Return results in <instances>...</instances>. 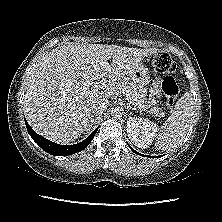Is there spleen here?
Returning <instances> with one entry per match:
<instances>
[{"label":"spleen","instance_id":"spleen-1","mask_svg":"<svg viewBox=\"0 0 222 222\" xmlns=\"http://www.w3.org/2000/svg\"><path fill=\"white\" fill-rule=\"evenodd\" d=\"M194 115L193 94L186 92L177 101L174 112L161 126L155 143L156 149H161L165 152L178 147L187 136Z\"/></svg>","mask_w":222,"mask_h":222}]
</instances>
